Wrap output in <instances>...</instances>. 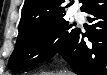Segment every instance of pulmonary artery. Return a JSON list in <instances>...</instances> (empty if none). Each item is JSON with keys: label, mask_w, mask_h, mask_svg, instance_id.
<instances>
[{"label": "pulmonary artery", "mask_w": 107, "mask_h": 75, "mask_svg": "<svg viewBox=\"0 0 107 75\" xmlns=\"http://www.w3.org/2000/svg\"><path fill=\"white\" fill-rule=\"evenodd\" d=\"M79 16H80L79 13H76V14H75V17H76V18H78Z\"/></svg>", "instance_id": "pulmonary-artery-1"}]
</instances>
